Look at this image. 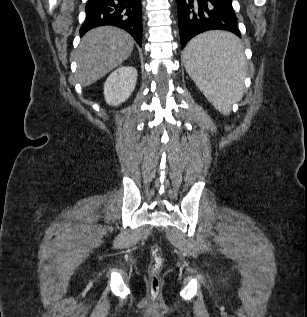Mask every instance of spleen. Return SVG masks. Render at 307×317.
Listing matches in <instances>:
<instances>
[{
	"label": "spleen",
	"instance_id": "1",
	"mask_svg": "<svg viewBox=\"0 0 307 317\" xmlns=\"http://www.w3.org/2000/svg\"><path fill=\"white\" fill-rule=\"evenodd\" d=\"M244 42L226 32L193 38L184 51L185 68L200 91L222 114L243 95Z\"/></svg>",
	"mask_w": 307,
	"mask_h": 317
}]
</instances>
